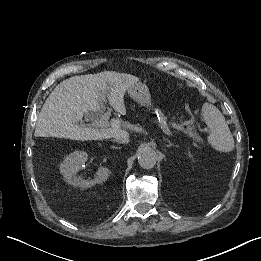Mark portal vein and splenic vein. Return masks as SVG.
<instances>
[{
  "label": "portal vein and splenic vein",
  "mask_w": 261,
  "mask_h": 261,
  "mask_svg": "<svg viewBox=\"0 0 261 261\" xmlns=\"http://www.w3.org/2000/svg\"><path fill=\"white\" fill-rule=\"evenodd\" d=\"M172 129H177L180 133L185 134V136H189V139H193V141H198V136H194V134H190V131H187L180 123L172 120L170 122ZM92 127H107L109 126V122L105 119H100L99 121H95Z\"/></svg>",
  "instance_id": "1"
}]
</instances>
